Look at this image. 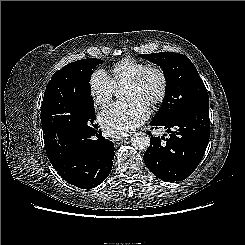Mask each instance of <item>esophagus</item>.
<instances>
[{"label":"esophagus","mask_w":245,"mask_h":245,"mask_svg":"<svg viewBox=\"0 0 245 245\" xmlns=\"http://www.w3.org/2000/svg\"><path fill=\"white\" fill-rule=\"evenodd\" d=\"M123 141H124V139H122V138L113 139L114 144H117V145L121 144Z\"/></svg>","instance_id":"34e87169"}]
</instances>
